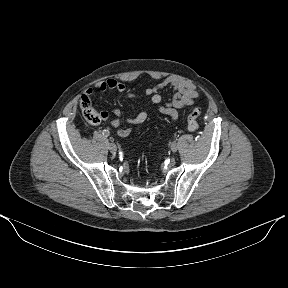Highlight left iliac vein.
I'll use <instances>...</instances> for the list:
<instances>
[{"instance_id": "1", "label": "left iliac vein", "mask_w": 288, "mask_h": 288, "mask_svg": "<svg viewBox=\"0 0 288 288\" xmlns=\"http://www.w3.org/2000/svg\"><path fill=\"white\" fill-rule=\"evenodd\" d=\"M177 149H178V144H177V142H175L173 145H171V150H172L173 152H176Z\"/></svg>"}]
</instances>
